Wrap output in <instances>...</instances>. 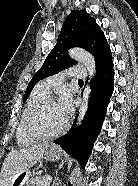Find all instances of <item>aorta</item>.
Listing matches in <instances>:
<instances>
[{
	"instance_id": "obj_1",
	"label": "aorta",
	"mask_w": 138,
	"mask_h": 186,
	"mask_svg": "<svg viewBox=\"0 0 138 186\" xmlns=\"http://www.w3.org/2000/svg\"><path fill=\"white\" fill-rule=\"evenodd\" d=\"M68 55L70 58L75 59L83 63L88 71L89 80L87 85L84 88L83 96H82V103L79 109V115L77 119L76 126H80L88 109L89 97L91 92L90 81L92 80L93 76L96 73V64L95 59L89 52L80 49V48H73L68 51Z\"/></svg>"
}]
</instances>
